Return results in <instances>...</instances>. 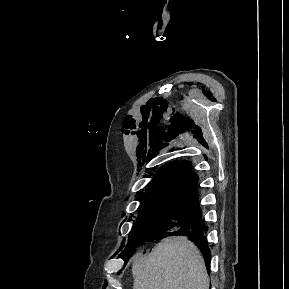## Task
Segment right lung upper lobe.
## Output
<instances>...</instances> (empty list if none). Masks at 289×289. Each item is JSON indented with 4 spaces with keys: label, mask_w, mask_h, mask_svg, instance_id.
<instances>
[{
    "label": "right lung upper lobe",
    "mask_w": 289,
    "mask_h": 289,
    "mask_svg": "<svg viewBox=\"0 0 289 289\" xmlns=\"http://www.w3.org/2000/svg\"><path fill=\"white\" fill-rule=\"evenodd\" d=\"M154 171V170H153ZM150 185L141 192V198L169 195H187L197 197L198 177L187 161L167 163L155 173Z\"/></svg>",
    "instance_id": "obj_1"
}]
</instances>
